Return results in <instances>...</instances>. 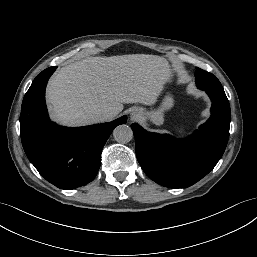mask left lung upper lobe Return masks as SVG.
I'll return each instance as SVG.
<instances>
[{"label": "left lung upper lobe", "mask_w": 257, "mask_h": 257, "mask_svg": "<svg viewBox=\"0 0 257 257\" xmlns=\"http://www.w3.org/2000/svg\"><path fill=\"white\" fill-rule=\"evenodd\" d=\"M195 76L198 88L211 91H224L221 83L213 74L196 68Z\"/></svg>", "instance_id": "1"}]
</instances>
